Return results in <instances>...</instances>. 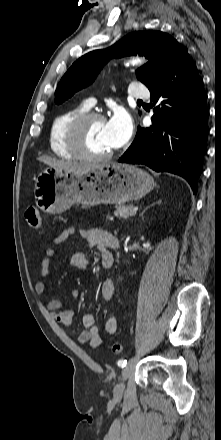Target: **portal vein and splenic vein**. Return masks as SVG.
<instances>
[{
  "label": "portal vein and splenic vein",
  "instance_id": "18ae733b",
  "mask_svg": "<svg viewBox=\"0 0 221 440\" xmlns=\"http://www.w3.org/2000/svg\"><path fill=\"white\" fill-rule=\"evenodd\" d=\"M137 208L136 207H134L132 210H131V212L129 213V215L130 216H134L136 213H137Z\"/></svg>",
  "mask_w": 221,
  "mask_h": 440
}]
</instances>
